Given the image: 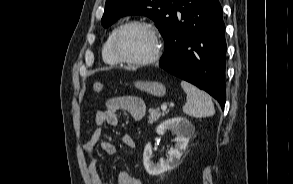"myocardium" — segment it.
Masks as SVG:
<instances>
[{
	"mask_svg": "<svg viewBox=\"0 0 293 184\" xmlns=\"http://www.w3.org/2000/svg\"><path fill=\"white\" fill-rule=\"evenodd\" d=\"M132 26H139L147 29L149 33L151 34L153 41H154V49L152 53L145 58L142 59H130L124 57L118 50L117 47V41L120 36V34L127 28ZM111 50L114 55V57L121 63L129 64V65H136V66H142V65H148L151 63L156 62L162 54L163 51V42L161 39V36L159 34L158 29L151 23L143 20H132L128 21L121 26H119L115 33L113 34L112 40H111Z\"/></svg>",
	"mask_w": 293,
	"mask_h": 184,
	"instance_id": "obj_1",
	"label": "myocardium"
}]
</instances>
